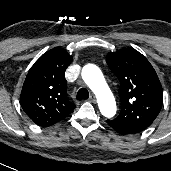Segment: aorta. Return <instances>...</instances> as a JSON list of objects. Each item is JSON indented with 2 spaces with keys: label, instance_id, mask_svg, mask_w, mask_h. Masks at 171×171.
<instances>
[{
  "label": "aorta",
  "instance_id": "aorta-1",
  "mask_svg": "<svg viewBox=\"0 0 171 171\" xmlns=\"http://www.w3.org/2000/svg\"><path fill=\"white\" fill-rule=\"evenodd\" d=\"M82 78L96 95L102 115L113 117L116 113L115 98L101 70L93 64L85 65L82 69Z\"/></svg>",
  "mask_w": 171,
  "mask_h": 171
}]
</instances>
